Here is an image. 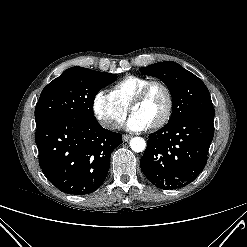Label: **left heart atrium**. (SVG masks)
Wrapping results in <instances>:
<instances>
[{"instance_id": "39dd6f15", "label": "left heart atrium", "mask_w": 247, "mask_h": 247, "mask_svg": "<svg viewBox=\"0 0 247 247\" xmlns=\"http://www.w3.org/2000/svg\"><path fill=\"white\" fill-rule=\"evenodd\" d=\"M127 127L133 131H142L150 127V125L140 116L133 113L127 121Z\"/></svg>"}]
</instances>
